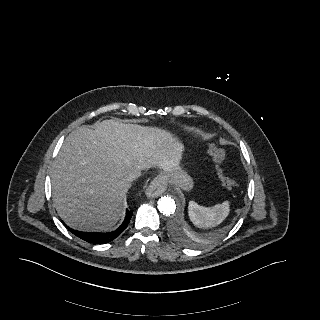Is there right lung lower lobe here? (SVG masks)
<instances>
[{"label": "right lung lower lobe", "mask_w": 320, "mask_h": 320, "mask_svg": "<svg viewBox=\"0 0 320 320\" xmlns=\"http://www.w3.org/2000/svg\"><path fill=\"white\" fill-rule=\"evenodd\" d=\"M132 214L133 213L131 211L127 210L125 220L121 224V226L115 231L108 232V233L82 232V231L74 230L66 225L65 226L71 233H73L74 235H76L77 237L81 238L86 242H89L92 244H104L114 240L125 230V228L130 222Z\"/></svg>", "instance_id": "1"}]
</instances>
